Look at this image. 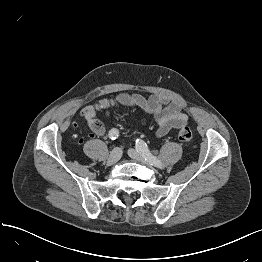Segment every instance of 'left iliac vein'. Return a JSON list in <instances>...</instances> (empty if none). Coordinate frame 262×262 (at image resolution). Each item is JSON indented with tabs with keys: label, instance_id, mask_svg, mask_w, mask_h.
Wrapping results in <instances>:
<instances>
[{
	"label": "left iliac vein",
	"instance_id": "1",
	"mask_svg": "<svg viewBox=\"0 0 262 262\" xmlns=\"http://www.w3.org/2000/svg\"><path fill=\"white\" fill-rule=\"evenodd\" d=\"M128 155H129L132 159H134V160H136V161H138V162H140V163H142V164H145V165H148V166L151 165V164H150L144 157H142V156L138 153V151H136L135 149H129V150H128Z\"/></svg>",
	"mask_w": 262,
	"mask_h": 262
}]
</instances>
